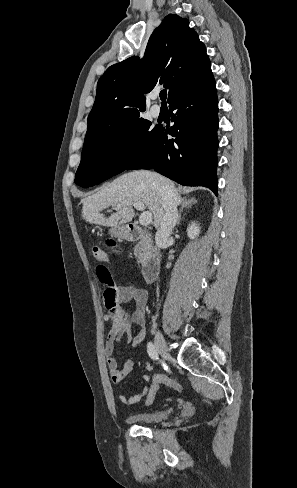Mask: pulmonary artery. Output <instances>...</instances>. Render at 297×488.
Returning <instances> with one entry per match:
<instances>
[{"instance_id":"obj_1","label":"pulmonary artery","mask_w":297,"mask_h":488,"mask_svg":"<svg viewBox=\"0 0 297 488\" xmlns=\"http://www.w3.org/2000/svg\"><path fill=\"white\" fill-rule=\"evenodd\" d=\"M151 114L153 117H158L160 115V107L155 105L151 108Z\"/></svg>"}]
</instances>
